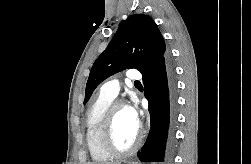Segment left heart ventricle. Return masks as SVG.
<instances>
[{
  "mask_svg": "<svg viewBox=\"0 0 251 164\" xmlns=\"http://www.w3.org/2000/svg\"><path fill=\"white\" fill-rule=\"evenodd\" d=\"M137 129L129 119L126 108L120 107L115 116L114 122V140L121 149L131 147L137 136Z\"/></svg>",
  "mask_w": 251,
  "mask_h": 164,
  "instance_id": "left-heart-ventricle-1",
  "label": "left heart ventricle"
}]
</instances>
